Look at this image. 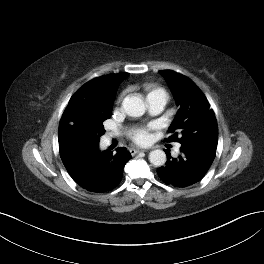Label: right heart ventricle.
Masks as SVG:
<instances>
[{"instance_id": "e07e8e85", "label": "right heart ventricle", "mask_w": 264, "mask_h": 264, "mask_svg": "<svg viewBox=\"0 0 264 264\" xmlns=\"http://www.w3.org/2000/svg\"><path fill=\"white\" fill-rule=\"evenodd\" d=\"M154 93H162V94H164L166 96V93H165V91L163 89H161V88H151L147 92V98H148V96H150L151 94H154Z\"/></svg>"}]
</instances>
